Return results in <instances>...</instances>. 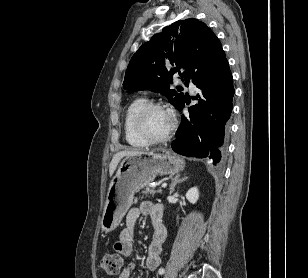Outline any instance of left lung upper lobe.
<instances>
[{
	"instance_id": "obj_1",
	"label": "left lung upper lobe",
	"mask_w": 308,
	"mask_h": 278,
	"mask_svg": "<svg viewBox=\"0 0 308 278\" xmlns=\"http://www.w3.org/2000/svg\"><path fill=\"white\" fill-rule=\"evenodd\" d=\"M225 59V52L213 31L190 18L164 27L133 55L123 88L128 93L151 88L165 95L176 107L184 103L183 93L171 90L172 77L179 73L185 85L207 76Z\"/></svg>"
}]
</instances>
